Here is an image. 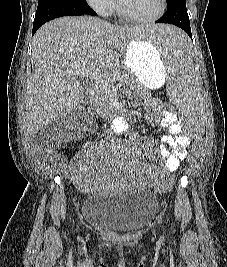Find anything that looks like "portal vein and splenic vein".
Instances as JSON below:
<instances>
[{"label": "portal vein and splenic vein", "mask_w": 227, "mask_h": 267, "mask_svg": "<svg viewBox=\"0 0 227 267\" xmlns=\"http://www.w3.org/2000/svg\"><path fill=\"white\" fill-rule=\"evenodd\" d=\"M69 74L76 77H86L94 80L96 83H104L106 79V75L104 73L92 66L69 71Z\"/></svg>", "instance_id": "portal-vein-and-splenic-vein-1"}]
</instances>
